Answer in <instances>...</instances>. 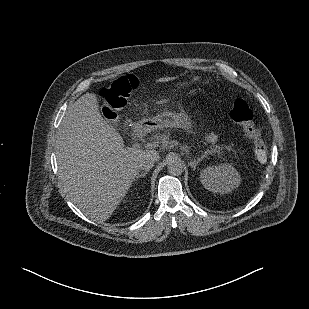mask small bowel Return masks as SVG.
Returning a JSON list of instances; mask_svg holds the SVG:
<instances>
[{"mask_svg":"<svg viewBox=\"0 0 309 309\" xmlns=\"http://www.w3.org/2000/svg\"><path fill=\"white\" fill-rule=\"evenodd\" d=\"M207 142L211 143V144H214L217 142L218 140V137L217 135L215 134H211V135H208L207 138H206Z\"/></svg>","mask_w":309,"mask_h":309,"instance_id":"c3829d8e","label":"small bowel"}]
</instances>
